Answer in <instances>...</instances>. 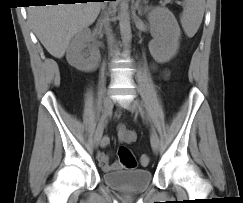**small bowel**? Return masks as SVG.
<instances>
[{"instance_id":"1","label":"small bowel","mask_w":243,"mask_h":203,"mask_svg":"<svg viewBox=\"0 0 243 203\" xmlns=\"http://www.w3.org/2000/svg\"><path fill=\"white\" fill-rule=\"evenodd\" d=\"M118 138L121 143L131 144L136 140V133L126 128L125 125L119 124L117 127ZM110 144V138L104 136L101 140V146L107 147ZM97 160L104 171H115L121 169V163L116 161L114 163L109 162L108 154L99 152L97 154Z\"/></svg>"}]
</instances>
